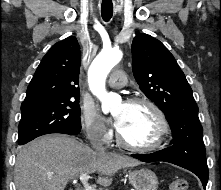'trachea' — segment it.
<instances>
[{"mask_svg": "<svg viewBox=\"0 0 221 190\" xmlns=\"http://www.w3.org/2000/svg\"><path fill=\"white\" fill-rule=\"evenodd\" d=\"M101 14L104 21H109L113 15V3L104 0L101 5Z\"/></svg>", "mask_w": 221, "mask_h": 190, "instance_id": "1", "label": "trachea"}]
</instances>
